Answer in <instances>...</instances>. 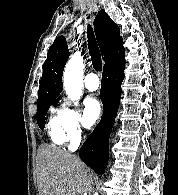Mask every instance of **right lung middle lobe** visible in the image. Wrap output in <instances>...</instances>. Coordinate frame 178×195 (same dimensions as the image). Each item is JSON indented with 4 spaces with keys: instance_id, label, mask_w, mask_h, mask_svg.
Segmentation results:
<instances>
[{
    "instance_id": "right-lung-middle-lobe-1",
    "label": "right lung middle lobe",
    "mask_w": 178,
    "mask_h": 195,
    "mask_svg": "<svg viewBox=\"0 0 178 195\" xmlns=\"http://www.w3.org/2000/svg\"><path fill=\"white\" fill-rule=\"evenodd\" d=\"M52 103L53 101H48L37 105V123L41 129L45 127V115Z\"/></svg>"
}]
</instances>
